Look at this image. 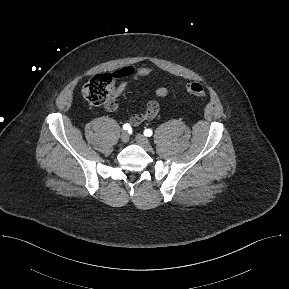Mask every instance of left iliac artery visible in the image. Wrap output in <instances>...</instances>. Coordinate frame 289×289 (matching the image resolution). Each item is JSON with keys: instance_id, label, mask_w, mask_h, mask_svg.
<instances>
[{"instance_id": "1", "label": "left iliac artery", "mask_w": 289, "mask_h": 289, "mask_svg": "<svg viewBox=\"0 0 289 289\" xmlns=\"http://www.w3.org/2000/svg\"><path fill=\"white\" fill-rule=\"evenodd\" d=\"M152 134H153V132H152L151 129H146V130L144 131V135H145V136L150 137V136H152Z\"/></svg>"}]
</instances>
